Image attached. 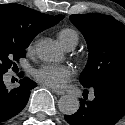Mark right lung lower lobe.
<instances>
[{"label":"right lung lower lobe","mask_w":125,"mask_h":125,"mask_svg":"<svg viewBox=\"0 0 125 125\" xmlns=\"http://www.w3.org/2000/svg\"><path fill=\"white\" fill-rule=\"evenodd\" d=\"M36 86L34 81L25 77L19 81L18 87L9 90L4 84L3 74H0V122L21 112L28 102L30 91Z\"/></svg>","instance_id":"obj_1"}]
</instances>
